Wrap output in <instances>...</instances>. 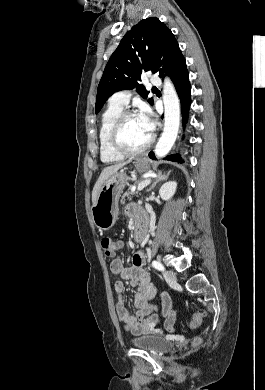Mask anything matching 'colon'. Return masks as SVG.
Segmentation results:
<instances>
[{
    "instance_id": "1",
    "label": "colon",
    "mask_w": 265,
    "mask_h": 390,
    "mask_svg": "<svg viewBox=\"0 0 265 390\" xmlns=\"http://www.w3.org/2000/svg\"><path fill=\"white\" fill-rule=\"evenodd\" d=\"M101 246L104 250L106 257L114 258L116 256L117 249L115 246V241L111 237L109 236L104 237L101 240ZM204 316H205L204 312L195 313L192 321L190 322V327L191 328L198 327L202 323Z\"/></svg>"
}]
</instances>
